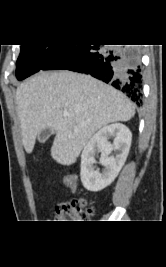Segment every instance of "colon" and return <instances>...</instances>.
Masks as SVG:
<instances>
[{
    "label": "colon",
    "instance_id": "colon-1",
    "mask_svg": "<svg viewBox=\"0 0 166 267\" xmlns=\"http://www.w3.org/2000/svg\"><path fill=\"white\" fill-rule=\"evenodd\" d=\"M68 180H75L72 175L67 176ZM57 215L59 223L72 222V220H83L93 214V209L86 199H73L57 205Z\"/></svg>",
    "mask_w": 166,
    "mask_h": 267
}]
</instances>
